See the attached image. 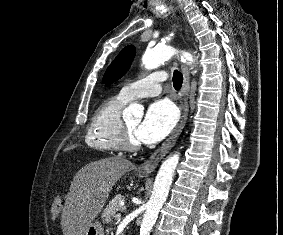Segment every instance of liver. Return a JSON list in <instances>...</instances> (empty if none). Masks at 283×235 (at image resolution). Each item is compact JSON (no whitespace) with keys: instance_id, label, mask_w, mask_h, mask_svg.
I'll list each match as a JSON object with an SVG mask.
<instances>
[{"instance_id":"liver-1","label":"liver","mask_w":283,"mask_h":235,"mask_svg":"<svg viewBox=\"0 0 283 235\" xmlns=\"http://www.w3.org/2000/svg\"><path fill=\"white\" fill-rule=\"evenodd\" d=\"M135 165L122 157H109L82 167L71 182L61 216L63 235H85L103 209L115 183Z\"/></svg>"}]
</instances>
